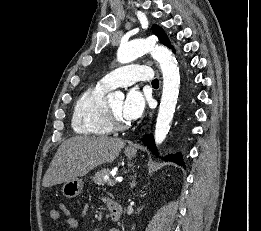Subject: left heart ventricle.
I'll list each match as a JSON object with an SVG mask.
<instances>
[{
  "label": "left heart ventricle",
  "instance_id": "left-heart-ventricle-1",
  "mask_svg": "<svg viewBox=\"0 0 261 231\" xmlns=\"http://www.w3.org/2000/svg\"><path fill=\"white\" fill-rule=\"evenodd\" d=\"M123 103V99H118L110 102L109 104L119 119L122 121H128L123 115Z\"/></svg>",
  "mask_w": 261,
  "mask_h": 231
}]
</instances>
